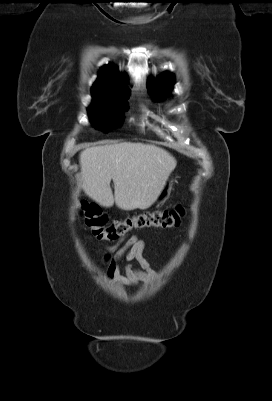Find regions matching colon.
Returning <instances> with one entry per match:
<instances>
[{
    "label": "colon",
    "instance_id": "5ec220e1",
    "mask_svg": "<svg viewBox=\"0 0 272 401\" xmlns=\"http://www.w3.org/2000/svg\"><path fill=\"white\" fill-rule=\"evenodd\" d=\"M183 208L171 210L155 209L124 219L109 222L105 213L94 203H83V216L86 225L98 240L115 241L134 230L145 228H174L180 224Z\"/></svg>",
    "mask_w": 272,
    "mask_h": 401
}]
</instances>
